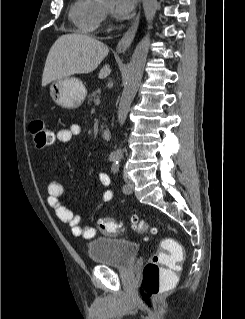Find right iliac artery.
Listing matches in <instances>:
<instances>
[{
    "instance_id": "82829eb1",
    "label": "right iliac artery",
    "mask_w": 245,
    "mask_h": 319,
    "mask_svg": "<svg viewBox=\"0 0 245 319\" xmlns=\"http://www.w3.org/2000/svg\"><path fill=\"white\" fill-rule=\"evenodd\" d=\"M109 159H110V161H115L116 160L115 157H110Z\"/></svg>"
}]
</instances>
